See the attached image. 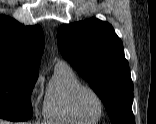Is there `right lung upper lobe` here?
Returning <instances> with one entry per match:
<instances>
[{"mask_svg":"<svg viewBox=\"0 0 156 124\" xmlns=\"http://www.w3.org/2000/svg\"><path fill=\"white\" fill-rule=\"evenodd\" d=\"M44 49V34L40 26H24L0 15V67L38 73Z\"/></svg>","mask_w":156,"mask_h":124,"instance_id":"cb5924a9","label":"right lung upper lobe"}]
</instances>
